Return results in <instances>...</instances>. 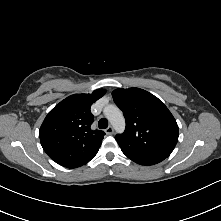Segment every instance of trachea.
Returning <instances> with one entry per match:
<instances>
[{
    "label": "trachea",
    "mask_w": 221,
    "mask_h": 221,
    "mask_svg": "<svg viewBox=\"0 0 221 221\" xmlns=\"http://www.w3.org/2000/svg\"><path fill=\"white\" fill-rule=\"evenodd\" d=\"M98 127L100 129H106L108 127V121L106 118H101L98 122Z\"/></svg>",
    "instance_id": "3493384b"
}]
</instances>
